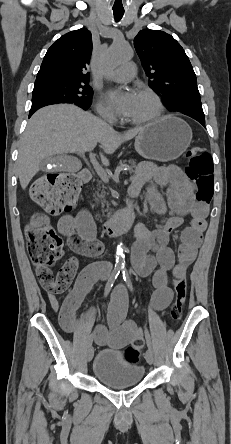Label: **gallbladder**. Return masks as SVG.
I'll use <instances>...</instances> for the list:
<instances>
[{
    "label": "gallbladder",
    "mask_w": 231,
    "mask_h": 444,
    "mask_svg": "<svg viewBox=\"0 0 231 444\" xmlns=\"http://www.w3.org/2000/svg\"><path fill=\"white\" fill-rule=\"evenodd\" d=\"M65 161V158L64 157H62V156H56V157H49V158H45V159H43L42 161H41V163H40V165H41V168H42V170H45V171H47V169H46V165L48 164V163H51V164H57V166L53 169L54 171H61V170H65L66 169V167L63 165V166H60V165H58V163L60 162V163H63Z\"/></svg>",
    "instance_id": "bac80fb5"
}]
</instances>
